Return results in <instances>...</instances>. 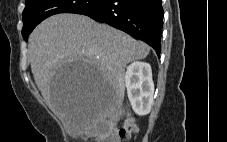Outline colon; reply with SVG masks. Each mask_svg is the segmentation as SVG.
<instances>
[{"label":"colon","mask_w":227,"mask_h":142,"mask_svg":"<svg viewBox=\"0 0 227 142\" xmlns=\"http://www.w3.org/2000/svg\"><path fill=\"white\" fill-rule=\"evenodd\" d=\"M137 126L132 118H126L120 127L108 125L101 131L97 142H121L136 132Z\"/></svg>","instance_id":"obj_1"}]
</instances>
